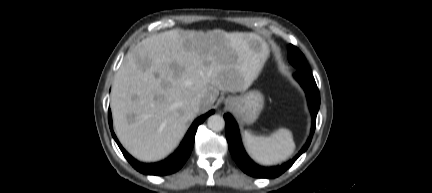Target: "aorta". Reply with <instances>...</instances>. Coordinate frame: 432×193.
<instances>
[{
  "mask_svg": "<svg viewBox=\"0 0 432 193\" xmlns=\"http://www.w3.org/2000/svg\"><path fill=\"white\" fill-rule=\"evenodd\" d=\"M207 125L212 131H221L225 127L224 118L221 115H211L207 120Z\"/></svg>",
  "mask_w": 432,
  "mask_h": 193,
  "instance_id": "1",
  "label": "aorta"
}]
</instances>
